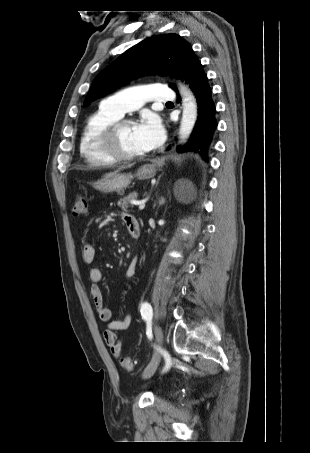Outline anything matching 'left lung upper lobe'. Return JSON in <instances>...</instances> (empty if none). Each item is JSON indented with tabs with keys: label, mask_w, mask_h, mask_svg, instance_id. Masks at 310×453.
Wrapping results in <instances>:
<instances>
[{
	"label": "left lung upper lobe",
	"mask_w": 310,
	"mask_h": 453,
	"mask_svg": "<svg viewBox=\"0 0 310 453\" xmlns=\"http://www.w3.org/2000/svg\"><path fill=\"white\" fill-rule=\"evenodd\" d=\"M193 53L189 43L177 34L146 39L124 52L96 76L84 105L143 74L170 72L180 78ZM170 86L175 87L173 84Z\"/></svg>",
	"instance_id": "5c2ea615"
}]
</instances>
